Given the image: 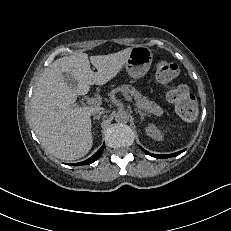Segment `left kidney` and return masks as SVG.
Wrapping results in <instances>:
<instances>
[{"label": "left kidney", "instance_id": "left-kidney-1", "mask_svg": "<svg viewBox=\"0 0 231 231\" xmlns=\"http://www.w3.org/2000/svg\"><path fill=\"white\" fill-rule=\"evenodd\" d=\"M146 134L151 137L154 140L161 141L163 140V133L154 125V124H148L145 127Z\"/></svg>", "mask_w": 231, "mask_h": 231}]
</instances>
